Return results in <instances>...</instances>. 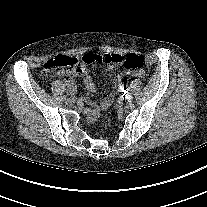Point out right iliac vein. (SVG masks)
I'll list each match as a JSON object with an SVG mask.
<instances>
[{
  "label": "right iliac vein",
  "mask_w": 207,
  "mask_h": 207,
  "mask_svg": "<svg viewBox=\"0 0 207 207\" xmlns=\"http://www.w3.org/2000/svg\"><path fill=\"white\" fill-rule=\"evenodd\" d=\"M73 103H74V99L73 98L66 99V104L67 105H72Z\"/></svg>",
  "instance_id": "right-iliac-vein-1"
}]
</instances>
